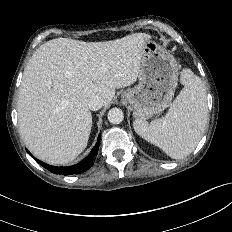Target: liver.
I'll return each instance as SVG.
<instances>
[{
	"label": "liver",
	"instance_id": "1",
	"mask_svg": "<svg viewBox=\"0 0 232 232\" xmlns=\"http://www.w3.org/2000/svg\"><path fill=\"white\" fill-rule=\"evenodd\" d=\"M151 36L134 33L105 42L56 38L30 58L19 89L18 122L28 149L52 165L72 162L92 128L88 100L108 105L115 89L136 82L142 50Z\"/></svg>",
	"mask_w": 232,
	"mask_h": 232
}]
</instances>
